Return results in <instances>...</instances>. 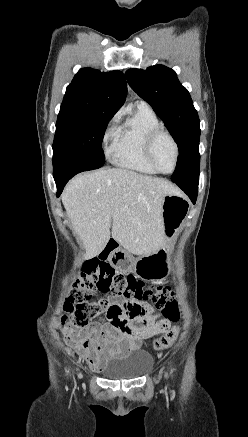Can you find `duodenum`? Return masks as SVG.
I'll return each mask as SVG.
<instances>
[{"instance_id":"obj_1","label":"duodenum","mask_w":248,"mask_h":437,"mask_svg":"<svg viewBox=\"0 0 248 437\" xmlns=\"http://www.w3.org/2000/svg\"><path fill=\"white\" fill-rule=\"evenodd\" d=\"M119 247V243L116 239L110 238L107 242L106 248H102L100 250V255L102 257H114L117 249Z\"/></svg>"}]
</instances>
